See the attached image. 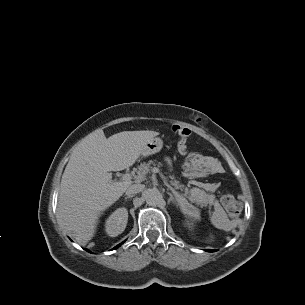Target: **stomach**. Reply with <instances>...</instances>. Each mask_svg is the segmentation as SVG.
I'll list each match as a JSON object with an SVG mask.
<instances>
[{
  "mask_svg": "<svg viewBox=\"0 0 305 305\" xmlns=\"http://www.w3.org/2000/svg\"><path fill=\"white\" fill-rule=\"evenodd\" d=\"M163 147V141L159 137L152 138L143 147L141 156L147 157L149 155L159 152Z\"/></svg>",
  "mask_w": 305,
  "mask_h": 305,
  "instance_id": "0dacf381",
  "label": "stomach"
}]
</instances>
